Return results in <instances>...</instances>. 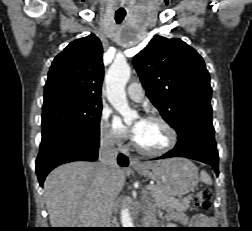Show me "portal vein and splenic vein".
<instances>
[{"label":"portal vein and splenic vein","instance_id":"1","mask_svg":"<svg viewBox=\"0 0 252 231\" xmlns=\"http://www.w3.org/2000/svg\"><path fill=\"white\" fill-rule=\"evenodd\" d=\"M147 189H148V190H152V187H151V186H147Z\"/></svg>","mask_w":252,"mask_h":231}]
</instances>
